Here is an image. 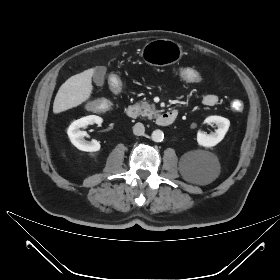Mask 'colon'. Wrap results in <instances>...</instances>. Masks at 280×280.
Masks as SVG:
<instances>
[{
  "label": "colon",
  "mask_w": 280,
  "mask_h": 280,
  "mask_svg": "<svg viewBox=\"0 0 280 280\" xmlns=\"http://www.w3.org/2000/svg\"><path fill=\"white\" fill-rule=\"evenodd\" d=\"M174 76L189 85H201L205 81L203 72L196 68L188 67L184 64H179L174 67ZM105 82L110 86L113 93H118L121 88L120 79L114 73H109L105 77ZM109 102L107 100H96L91 103L92 110L96 112H104L108 109ZM231 108L235 112H241L244 105L241 101H233Z\"/></svg>",
  "instance_id": "1"
}]
</instances>
